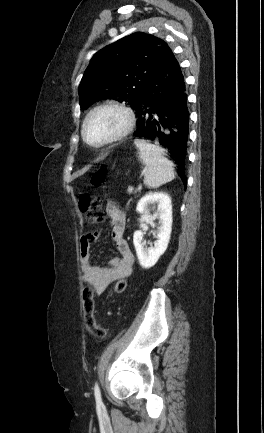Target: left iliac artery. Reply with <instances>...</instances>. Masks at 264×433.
<instances>
[{
    "label": "left iliac artery",
    "mask_w": 264,
    "mask_h": 433,
    "mask_svg": "<svg viewBox=\"0 0 264 433\" xmlns=\"http://www.w3.org/2000/svg\"><path fill=\"white\" fill-rule=\"evenodd\" d=\"M94 395H95L97 403L101 404L102 403L101 393H100V389H99V386L97 383H95V386H94Z\"/></svg>",
    "instance_id": "obj_1"
}]
</instances>
